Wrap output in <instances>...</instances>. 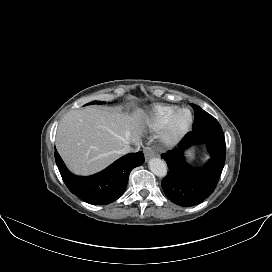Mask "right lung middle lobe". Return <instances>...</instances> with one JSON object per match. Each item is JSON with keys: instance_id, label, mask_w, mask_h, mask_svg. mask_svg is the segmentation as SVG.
<instances>
[{"instance_id": "dd1d6c3e", "label": "right lung middle lobe", "mask_w": 272, "mask_h": 272, "mask_svg": "<svg viewBox=\"0 0 272 272\" xmlns=\"http://www.w3.org/2000/svg\"><path fill=\"white\" fill-rule=\"evenodd\" d=\"M91 104H102V102H100V101H93V102H90V103H88L86 105H91Z\"/></svg>"}]
</instances>
